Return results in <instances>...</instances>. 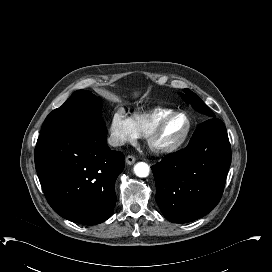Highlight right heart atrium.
I'll return each instance as SVG.
<instances>
[{
	"mask_svg": "<svg viewBox=\"0 0 272 272\" xmlns=\"http://www.w3.org/2000/svg\"><path fill=\"white\" fill-rule=\"evenodd\" d=\"M138 130L132 117L123 110H117L111 117L109 135L111 142L116 146L134 141L138 137Z\"/></svg>",
	"mask_w": 272,
	"mask_h": 272,
	"instance_id": "d8ad5b80",
	"label": "right heart atrium"
}]
</instances>
